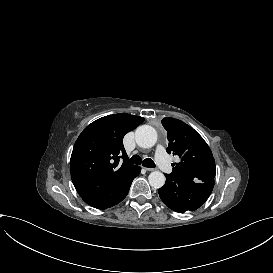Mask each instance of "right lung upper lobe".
Returning <instances> with one entry per match:
<instances>
[{"label": "right lung upper lobe", "instance_id": "obj_1", "mask_svg": "<svg viewBox=\"0 0 273 273\" xmlns=\"http://www.w3.org/2000/svg\"><path fill=\"white\" fill-rule=\"evenodd\" d=\"M144 121L140 116L120 113L89 124L75 142L70 165L73 184L89 205L110 204L121 186L139 166L129 163L123 137Z\"/></svg>", "mask_w": 273, "mask_h": 273}]
</instances>
